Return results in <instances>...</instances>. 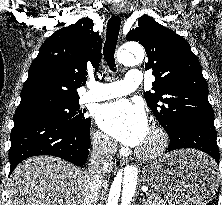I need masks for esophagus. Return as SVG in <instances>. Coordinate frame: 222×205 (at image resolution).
I'll use <instances>...</instances> for the list:
<instances>
[{
	"label": "esophagus",
	"instance_id": "1",
	"mask_svg": "<svg viewBox=\"0 0 222 205\" xmlns=\"http://www.w3.org/2000/svg\"><path fill=\"white\" fill-rule=\"evenodd\" d=\"M111 11L114 13V14H119L121 12V7L119 6H113L111 8ZM115 167L116 168H120L121 166H123L125 164V160L124 159H116L115 160Z\"/></svg>",
	"mask_w": 222,
	"mask_h": 205
}]
</instances>
